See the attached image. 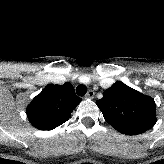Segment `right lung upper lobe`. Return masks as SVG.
I'll return each mask as SVG.
<instances>
[{
	"instance_id": "right-lung-upper-lobe-1",
	"label": "right lung upper lobe",
	"mask_w": 164,
	"mask_h": 164,
	"mask_svg": "<svg viewBox=\"0 0 164 164\" xmlns=\"http://www.w3.org/2000/svg\"><path fill=\"white\" fill-rule=\"evenodd\" d=\"M80 102L72 84H49L28 105L27 116L35 128L52 130L66 122Z\"/></svg>"
}]
</instances>
